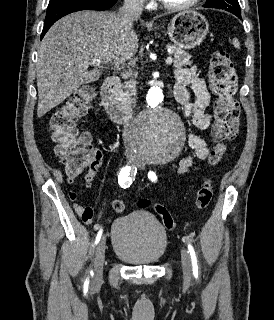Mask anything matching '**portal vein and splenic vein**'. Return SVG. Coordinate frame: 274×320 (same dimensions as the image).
<instances>
[{"label":"portal vein and splenic vein","instance_id":"obj_1","mask_svg":"<svg viewBox=\"0 0 274 320\" xmlns=\"http://www.w3.org/2000/svg\"><path fill=\"white\" fill-rule=\"evenodd\" d=\"M172 62H173L172 58H167L166 64H172ZM100 64H101L100 58H96V60H92L91 62V66H100ZM118 70H120V68H118Z\"/></svg>","mask_w":274,"mask_h":320}]
</instances>
